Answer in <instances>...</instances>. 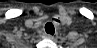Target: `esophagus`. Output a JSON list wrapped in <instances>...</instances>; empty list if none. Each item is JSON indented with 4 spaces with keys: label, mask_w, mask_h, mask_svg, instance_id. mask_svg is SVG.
Wrapping results in <instances>:
<instances>
[{
    "label": "esophagus",
    "mask_w": 97,
    "mask_h": 48,
    "mask_svg": "<svg viewBox=\"0 0 97 48\" xmlns=\"http://www.w3.org/2000/svg\"><path fill=\"white\" fill-rule=\"evenodd\" d=\"M43 38H46V39H54V36H52L50 34H43Z\"/></svg>",
    "instance_id": "obj_1"
}]
</instances>
